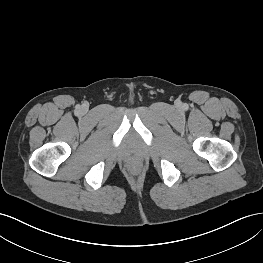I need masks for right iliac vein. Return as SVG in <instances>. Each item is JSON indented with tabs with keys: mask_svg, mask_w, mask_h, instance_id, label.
Here are the masks:
<instances>
[{
	"mask_svg": "<svg viewBox=\"0 0 263 263\" xmlns=\"http://www.w3.org/2000/svg\"><path fill=\"white\" fill-rule=\"evenodd\" d=\"M84 111H86V108L85 107H82Z\"/></svg>",
	"mask_w": 263,
	"mask_h": 263,
	"instance_id": "1",
	"label": "right iliac vein"
}]
</instances>
